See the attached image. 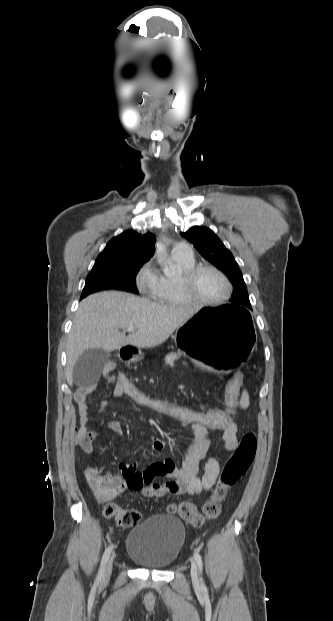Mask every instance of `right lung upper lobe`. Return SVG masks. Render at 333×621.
I'll return each instance as SVG.
<instances>
[{"label": "right lung upper lobe", "mask_w": 333, "mask_h": 621, "mask_svg": "<svg viewBox=\"0 0 333 621\" xmlns=\"http://www.w3.org/2000/svg\"><path fill=\"white\" fill-rule=\"evenodd\" d=\"M155 240V235L150 232L141 235L135 231H125L109 241L95 262L131 261L145 263L153 256Z\"/></svg>", "instance_id": "1"}]
</instances>
